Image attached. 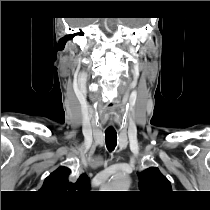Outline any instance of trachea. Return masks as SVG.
Listing matches in <instances>:
<instances>
[{
  "label": "trachea",
  "instance_id": "obj_1",
  "mask_svg": "<svg viewBox=\"0 0 210 210\" xmlns=\"http://www.w3.org/2000/svg\"><path fill=\"white\" fill-rule=\"evenodd\" d=\"M106 147L109 151H113L117 144V134L115 131H105Z\"/></svg>",
  "mask_w": 210,
  "mask_h": 210
}]
</instances>
